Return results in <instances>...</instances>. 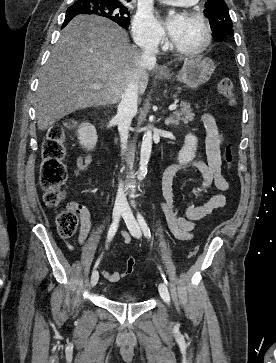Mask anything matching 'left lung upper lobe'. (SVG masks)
Instances as JSON below:
<instances>
[{"instance_id":"1","label":"left lung upper lobe","mask_w":276,"mask_h":363,"mask_svg":"<svg viewBox=\"0 0 276 363\" xmlns=\"http://www.w3.org/2000/svg\"><path fill=\"white\" fill-rule=\"evenodd\" d=\"M205 6L204 12L210 19L213 36L217 40H222L225 36H233V24L225 1L208 0Z\"/></svg>"}]
</instances>
